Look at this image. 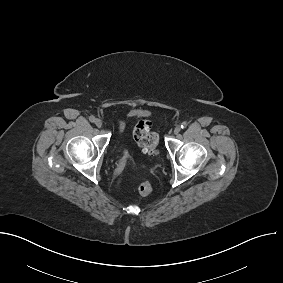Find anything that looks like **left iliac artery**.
<instances>
[{
    "label": "left iliac artery",
    "instance_id": "left-iliac-artery-1",
    "mask_svg": "<svg viewBox=\"0 0 283 283\" xmlns=\"http://www.w3.org/2000/svg\"><path fill=\"white\" fill-rule=\"evenodd\" d=\"M186 127H187V123H186V122H182L181 128H182V129H185Z\"/></svg>",
    "mask_w": 283,
    "mask_h": 283
}]
</instances>
